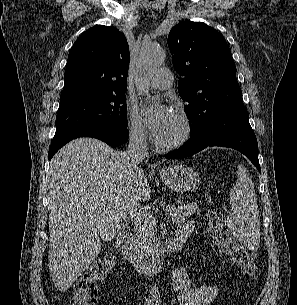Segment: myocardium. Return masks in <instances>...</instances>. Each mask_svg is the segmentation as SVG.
<instances>
[{"label": "myocardium", "instance_id": "1", "mask_svg": "<svg viewBox=\"0 0 297 305\" xmlns=\"http://www.w3.org/2000/svg\"><path fill=\"white\" fill-rule=\"evenodd\" d=\"M175 115L177 116V118L181 123L182 132L175 140L167 143L160 142L155 137H153V143L158 150L161 151L175 150L183 146L190 139L192 135L193 127L188 115L183 111H176Z\"/></svg>", "mask_w": 297, "mask_h": 305}]
</instances>
